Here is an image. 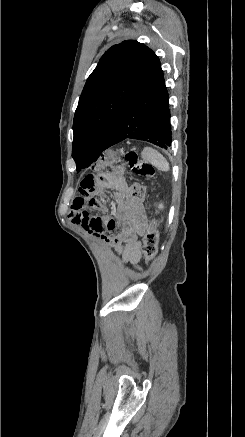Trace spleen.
Instances as JSON below:
<instances>
[{
	"label": "spleen",
	"mask_w": 245,
	"mask_h": 437,
	"mask_svg": "<svg viewBox=\"0 0 245 437\" xmlns=\"http://www.w3.org/2000/svg\"><path fill=\"white\" fill-rule=\"evenodd\" d=\"M142 158L161 171L167 172L170 169V165L166 158L154 148L144 147L142 150Z\"/></svg>",
	"instance_id": "spleen-1"
}]
</instances>
